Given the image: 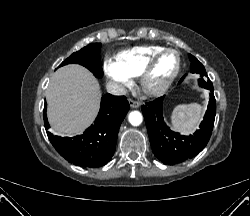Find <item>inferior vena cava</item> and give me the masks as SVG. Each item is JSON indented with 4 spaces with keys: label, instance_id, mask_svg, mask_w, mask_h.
Segmentation results:
<instances>
[{
    "label": "inferior vena cava",
    "instance_id": "obj_1",
    "mask_svg": "<svg viewBox=\"0 0 250 216\" xmlns=\"http://www.w3.org/2000/svg\"><path fill=\"white\" fill-rule=\"evenodd\" d=\"M106 89L112 95H125L127 93V89L116 82H108Z\"/></svg>",
    "mask_w": 250,
    "mask_h": 216
}]
</instances>
